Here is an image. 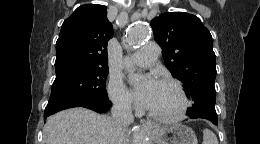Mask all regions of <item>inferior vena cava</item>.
I'll use <instances>...</instances> for the list:
<instances>
[{
	"mask_svg": "<svg viewBox=\"0 0 260 144\" xmlns=\"http://www.w3.org/2000/svg\"><path fill=\"white\" fill-rule=\"evenodd\" d=\"M112 119L118 132L125 131L129 124L134 122L131 104L128 100L120 98L114 101Z\"/></svg>",
	"mask_w": 260,
	"mask_h": 144,
	"instance_id": "inferior-vena-cava-1",
	"label": "inferior vena cava"
}]
</instances>
